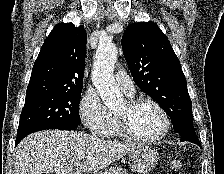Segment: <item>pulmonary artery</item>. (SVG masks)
I'll list each match as a JSON object with an SVG mask.
<instances>
[{"label": "pulmonary artery", "mask_w": 224, "mask_h": 174, "mask_svg": "<svg viewBox=\"0 0 224 174\" xmlns=\"http://www.w3.org/2000/svg\"><path fill=\"white\" fill-rule=\"evenodd\" d=\"M115 81L118 87L128 96L135 93L133 81L124 71H118L115 75Z\"/></svg>", "instance_id": "e3ab8cb5"}]
</instances>
